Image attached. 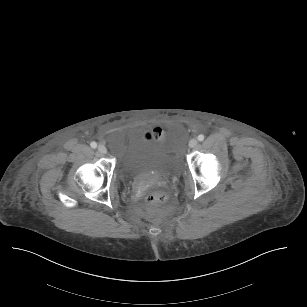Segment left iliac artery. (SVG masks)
I'll return each mask as SVG.
<instances>
[{
    "mask_svg": "<svg viewBox=\"0 0 307 307\" xmlns=\"http://www.w3.org/2000/svg\"><path fill=\"white\" fill-rule=\"evenodd\" d=\"M204 135H202V134H200V135H198V137H197V139L199 140V141H203L204 140Z\"/></svg>",
    "mask_w": 307,
    "mask_h": 307,
    "instance_id": "left-iliac-artery-1",
    "label": "left iliac artery"
}]
</instances>
